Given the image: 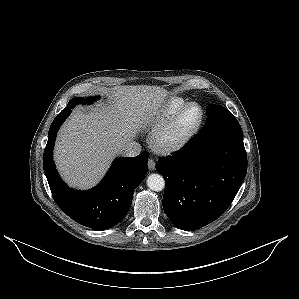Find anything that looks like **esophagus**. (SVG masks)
<instances>
[{
  "mask_svg": "<svg viewBox=\"0 0 299 299\" xmlns=\"http://www.w3.org/2000/svg\"><path fill=\"white\" fill-rule=\"evenodd\" d=\"M148 168L150 171H153L155 169V161L154 159L150 158L148 160Z\"/></svg>",
  "mask_w": 299,
  "mask_h": 299,
  "instance_id": "1",
  "label": "esophagus"
}]
</instances>
